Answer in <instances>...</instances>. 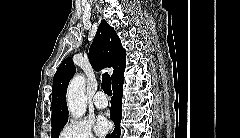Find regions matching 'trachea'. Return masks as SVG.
<instances>
[{
    "label": "trachea",
    "mask_w": 240,
    "mask_h": 138,
    "mask_svg": "<svg viewBox=\"0 0 240 138\" xmlns=\"http://www.w3.org/2000/svg\"><path fill=\"white\" fill-rule=\"evenodd\" d=\"M101 87H102L103 91H104L107 95H109V96L112 95L111 79H110V76L108 75L107 72H105V73L102 75Z\"/></svg>",
    "instance_id": "trachea-1"
}]
</instances>
